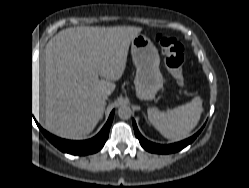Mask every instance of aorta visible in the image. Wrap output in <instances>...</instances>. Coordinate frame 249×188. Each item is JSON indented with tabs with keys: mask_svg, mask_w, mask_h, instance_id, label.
Segmentation results:
<instances>
[{
	"mask_svg": "<svg viewBox=\"0 0 249 188\" xmlns=\"http://www.w3.org/2000/svg\"><path fill=\"white\" fill-rule=\"evenodd\" d=\"M131 109L129 106L123 105L120 106L117 110V115L120 119L127 120L131 117Z\"/></svg>",
	"mask_w": 249,
	"mask_h": 188,
	"instance_id": "1",
	"label": "aorta"
}]
</instances>
